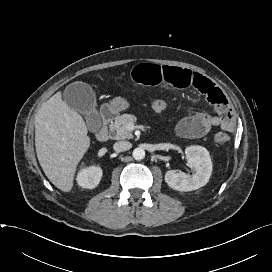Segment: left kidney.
I'll use <instances>...</instances> for the list:
<instances>
[{"mask_svg": "<svg viewBox=\"0 0 272 272\" xmlns=\"http://www.w3.org/2000/svg\"><path fill=\"white\" fill-rule=\"evenodd\" d=\"M189 165L195 169L193 175L175 170H168L165 181L171 188L178 191H192L207 184L212 173V162L209 152L202 146H189L185 149Z\"/></svg>", "mask_w": 272, "mask_h": 272, "instance_id": "left-kidney-1", "label": "left kidney"}]
</instances>
